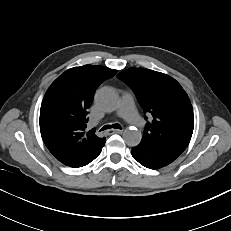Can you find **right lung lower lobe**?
Segmentation results:
<instances>
[{
    "label": "right lung lower lobe",
    "instance_id": "obj_1",
    "mask_svg": "<svg viewBox=\"0 0 231 231\" xmlns=\"http://www.w3.org/2000/svg\"><path fill=\"white\" fill-rule=\"evenodd\" d=\"M100 152H101V150L98 153H96L92 158H90L86 163H84L81 166L87 165L88 163H90L91 161H93L100 154ZM81 166H79V167H81Z\"/></svg>",
    "mask_w": 231,
    "mask_h": 231
}]
</instances>
